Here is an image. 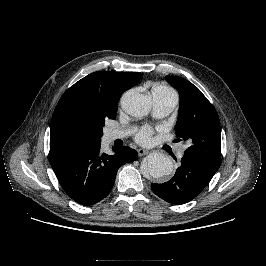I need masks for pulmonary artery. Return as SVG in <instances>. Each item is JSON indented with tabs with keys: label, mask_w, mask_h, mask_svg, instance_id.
<instances>
[{
	"label": "pulmonary artery",
	"mask_w": 266,
	"mask_h": 266,
	"mask_svg": "<svg viewBox=\"0 0 266 266\" xmlns=\"http://www.w3.org/2000/svg\"><path fill=\"white\" fill-rule=\"evenodd\" d=\"M153 96V115L155 117L161 118L170 114L177 106L178 97L177 94L169 89H155L152 91ZM130 133L126 129L118 130H108L106 132V139L108 141H114L116 139H121ZM186 146H182L179 151V156L181 157Z\"/></svg>",
	"instance_id": "1"
}]
</instances>
